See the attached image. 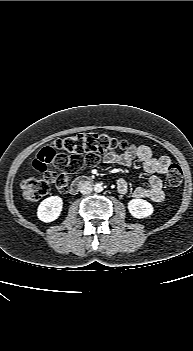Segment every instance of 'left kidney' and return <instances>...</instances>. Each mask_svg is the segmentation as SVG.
<instances>
[{
  "instance_id": "1",
  "label": "left kidney",
  "mask_w": 193,
  "mask_h": 351,
  "mask_svg": "<svg viewBox=\"0 0 193 351\" xmlns=\"http://www.w3.org/2000/svg\"><path fill=\"white\" fill-rule=\"evenodd\" d=\"M128 210L134 218L142 219L152 215L153 206L143 199H132L128 202Z\"/></svg>"
}]
</instances>
